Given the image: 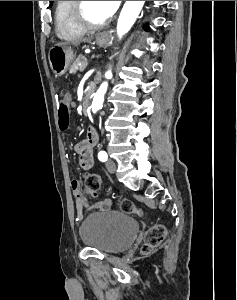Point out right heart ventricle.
I'll use <instances>...</instances> for the list:
<instances>
[{
  "mask_svg": "<svg viewBox=\"0 0 237 300\" xmlns=\"http://www.w3.org/2000/svg\"><path fill=\"white\" fill-rule=\"evenodd\" d=\"M72 3L73 1H56L55 4L56 33L63 39L82 36L86 31L74 23L71 16Z\"/></svg>",
  "mask_w": 237,
  "mask_h": 300,
  "instance_id": "right-heart-ventricle-1",
  "label": "right heart ventricle"
}]
</instances>
